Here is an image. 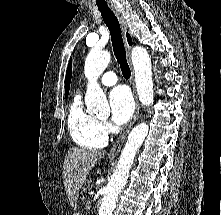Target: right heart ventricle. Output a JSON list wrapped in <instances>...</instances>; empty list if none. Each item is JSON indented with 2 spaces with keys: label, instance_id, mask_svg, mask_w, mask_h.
<instances>
[{
  "label": "right heart ventricle",
  "instance_id": "right-heart-ventricle-1",
  "mask_svg": "<svg viewBox=\"0 0 221 215\" xmlns=\"http://www.w3.org/2000/svg\"><path fill=\"white\" fill-rule=\"evenodd\" d=\"M67 125L75 144L84 148H100L106 144V137L99 131L98 119L90 114L76 95L69 107Z\"/></svg>",
  "mask_w": 221,
  "mask_h": 215
}]
</instances>
